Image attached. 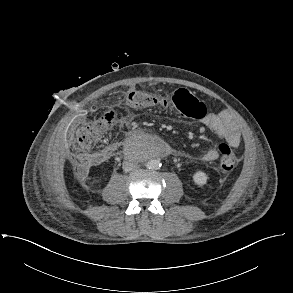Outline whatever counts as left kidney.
Listing matches in <instances>:
<instances>
[{
    "label": "left kidney",
    "instance_id": "obj_1",
    "mask_svg": "<svg viewBox=\"0 0 293 293\" xmlns=\"http://www.w3.org/2000/svg\"><path fill=\"white\" fill-rule=\"evenodd\" d=\"M207 180H208V175L201 170L195 172L193 175V181L198 186L205 185L207 183Z\"/></svg>",
    "mask_w": 293,
    "mask_h": 293
}]
</instances>
